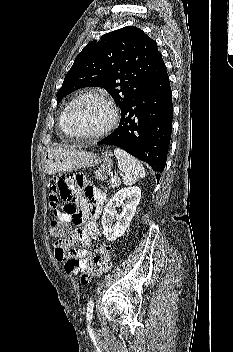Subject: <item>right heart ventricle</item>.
<instances>
[{
    "label": "right heart ventricle",
    "mask_w": 233,
    "mask_h": 352,
    "mask_svg": "<svg viewBox=\"0 0 233 352\" xmlns=\"http://www.w3.org/2000/svg\"><path fill=\"white\" fill-rule=\"evenodd\" d=\"M70 103H68L65 108L63 109V111L60 114V118H59V125L61 130L63 131V133H65L66 135H70L68 128L66 126V113H67V109Z\"/></svg>",
    "instance_id": "e07e8e85"
}]
</instances>
